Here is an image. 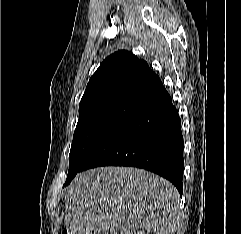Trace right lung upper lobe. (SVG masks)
I'll list each match as a JSON object with an SVG mask.
<instances>
[{
  "label": "right lung upper lobe",
  "instance_id": "cb5924a9",
  "mask_svg": "<svg viewBox=\"0 0 241 234\" xmlns=\"http://www.w3.org/2000/svg\"><path fill=\"white\" fill-rule=\"evenodd\" d=\"M163 86L159 77L128 51L107 57L90 78L79 110L110 102L138 104Z\"/></svg>",
  "mask_w": 241,
  "mask_h": 234
}]
</instances>
